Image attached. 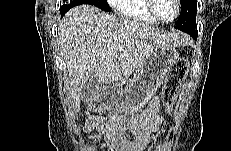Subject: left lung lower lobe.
<instances>
[{
  "instance_id": "0a47b994",
  "label": "left lung lower lobe",
  "mask_w": 231,
  "mask_h": 151,
  "mask_svg": "<svg viewBox=\"0 0 231 151\" xmlns=\"http://www.w3.org/2000/svg\"><path fill=\"white\" fill-rule=\"evenodd\" d=\"M188 34L192 36L194 39H197L198 31L197 30L190 31Z\"/></svg>"
}]
</instances>
